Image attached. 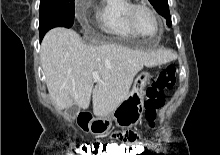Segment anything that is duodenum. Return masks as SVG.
<instances>
[{
	"label": "duodenum",
	"mask_w": 220,
	"mask_h": 155,
	"mask_svg": "<svg viewBox=\"0 0 220 155\" xmlns=\"http://www.w3.org/2000/svg\"><path fill=\"white\" fill-rule=\"evenodd\" d=\"M92 120V115L89 112H82L79 116V122L82 124H88Z\"/></svg>",
	"instance_id": "duodenum-1"
}]
</instances>
